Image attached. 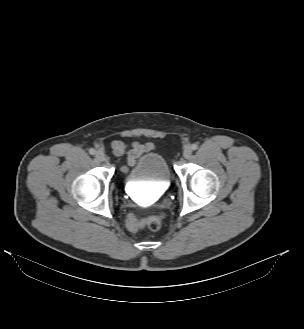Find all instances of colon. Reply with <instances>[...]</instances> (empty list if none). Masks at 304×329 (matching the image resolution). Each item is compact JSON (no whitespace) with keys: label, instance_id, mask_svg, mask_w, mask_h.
<instances>
[{"label":"colon","instance_id":"1","mask_svg":"<svg viewBox=\"0 0 304 329\" xmlns=\"http://www.w3.org/2000/svg\"><path fill=\"white\" fill-rule=\"evenodd\" d=\"M163 214L148 216L145 219H140L136 214L129 213L125 218L126 227L131 231H138L144 227L152 231H158L161 228Z\"/></svg>","mask_w":304,"mask_h":329}]
</instances>
